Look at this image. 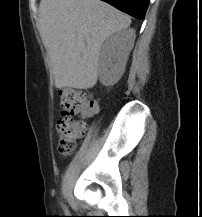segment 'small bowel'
Here are the masks:
<instances>
[{"mask_svg":"<svg viewBox=\"0 0 202 217\" xmlns=\"http://www.w3.org/2000/svg\"><path fill=\"white\" fill-rule=\"evenodd\" d=\"M98 110V102L96 100H93L89 105L78 106L77 108H75L74 113L82 117H90L97 113Z\"/></svg>","mask_w":202,"mask_h":217,"instance_id":"1","label":"small bowel"}]
</instances>
